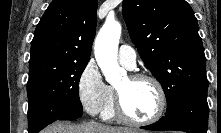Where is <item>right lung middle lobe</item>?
Instances as JSON below:
<instances>
[{"label":"right lung middle lobe","instance_id":"1","mask_svg":"<svg viewBox=\"0 0 221 133\" xmlns=\"http://www.w3.org/2000/svg\"><path fill=\"white\" fill-rule=\"evenodd\" d=\"M87 63H70L47 68L29 75V104L61 109L75 106L82 109L79 80Z\"/></svg>","mask_w":221,"mask_h":133}]
</instances>
